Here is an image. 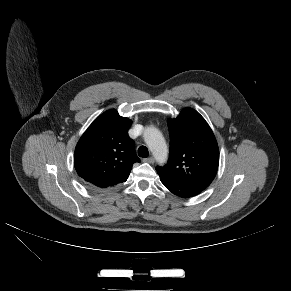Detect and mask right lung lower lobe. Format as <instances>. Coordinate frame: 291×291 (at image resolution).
Segmentation results:
<instances>
[{
  "instance_id": "obj_1",
  "label": "right lung lower lobe",
  "mask_w": 291,
  "mask_h": 291,
  "mask_svg": "<svg viewBox=\"0 0 291 291\" xmlns=\"http://www.w3.org/2000/svg\"><path fill=\"white\" fill-rule=\"evenodd\" d=\"M86 185H87L89 188H91V189H96L94 186H92V185H90V184H88V183H86Z\"/></svg>"
}]
</instances>
